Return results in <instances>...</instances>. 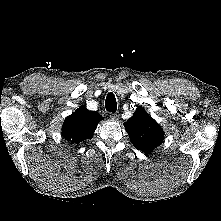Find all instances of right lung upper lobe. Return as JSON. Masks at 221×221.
<instances>
[{"instance_id": "right-lung-upper-lobe-1", "label": "right lung upper lobe", "mask_w": 221, "mask_h": 221, "mask_svg": "<svg viewBox=\"0 0 221 221\" xmlns=\"http://www.w3.org/2000/svg\"><path fill=\"white\" fill-rule=\"evenodd\" d=\"M103 117L86 107L81 106L74 114L68 116L62 127V136L72 144H79L86 139H91L98 123Z\"/></svg>"}]
</instances>
